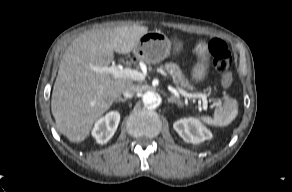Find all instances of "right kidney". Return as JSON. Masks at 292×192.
<instances>
[{"mask_svg": "<svg viewBox=\"0 0 292 192\" xmlns=\"http://www.w3.org/2000/svg\"><path fill=\"white\" fill-rule=\"evenodd\" d=\"M119 122L120 114L117 111H111L104 117L100 118L95 123V126L92 130V135L96 139L97 143H107L117 130Z\"/></svg>", "mask_w": 292, "mask_h": 192, "instance_id": "right-kidney-1", "label": "right kidney"}]
</instances>
